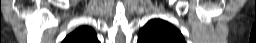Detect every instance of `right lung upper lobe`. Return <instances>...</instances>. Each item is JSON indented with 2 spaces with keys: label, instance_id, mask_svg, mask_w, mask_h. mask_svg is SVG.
I'll use <instances>...</instances> for the list:
<instances>
[{
  "label": "right lung upper lobe",
  "instance_id": "right-lung-upper-lobe-1",
  "mask_svg": "<svg viewBox=\"0 0 256 43\" xmlns=\"http://www.w3.org/2000/svg\"><path fill=\"white\" fill-rule=\"evenodd\" d=\"M62 43H99V41L92 28L82 26L69 34Z\"/></svg>",
  "mask_w": 256,
  "mask_h": 43
}]
</instances>
